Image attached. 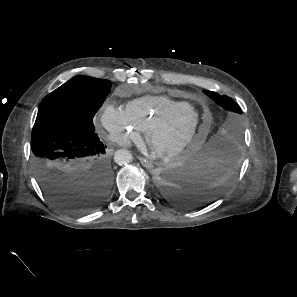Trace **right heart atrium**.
<instances>
[{"instance_id": "1", "label": "right heart atrium", "mask_w": 297, "mask_h": 297, "mask_svg": "<svg viewBox=\"0 0 297 297\" xmlns=\"http://www.w3.org/2000/svg\"><path fill=\"white\" fill-rule=\"evenodd\" d=\"M99 123L107 140L120 146L137 143L141 131L130 119L127 112L111 103H106L99 114Z\"/></svg>"}]
</instances>
